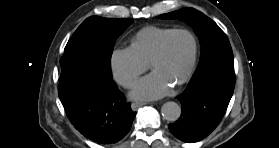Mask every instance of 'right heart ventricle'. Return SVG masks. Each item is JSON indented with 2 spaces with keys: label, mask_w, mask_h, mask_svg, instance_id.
Listing matches in <instances>:
<instances>
[{
  "label": "right heart ventricle",
  "mask_w": 279,
  "mask_h": 148,
  "mask_svg": "<svg viewBox=\"0 0 279 148\" xmlns=\"http://www.w3.org/2000/svg\"><path fill=\"white\" fill-rule=\"evenodd\" d=\"M172 30L174 29L146 27L135 35L131 47L145 63H149L162 39Z\"/></svg>",
  "instance_id": "1"
}]
</instances>
